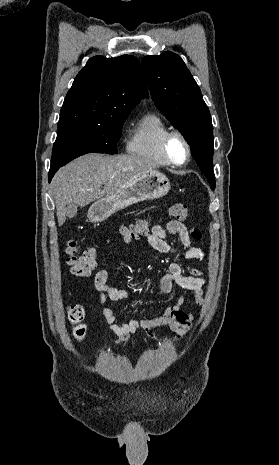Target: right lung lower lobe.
Returning <instances> with one entry per match:
<instances>
[{
    "label": "right lung lower lobe",
    "instance_id": "right-lung-lower-lobe-1",
    "mask_svg": "<svg viewBox=\"0 0 279 465\" xmlns=\"http://www.w3.org/2000/svg\"><path fill=\"white\" fill-rule=\"evenodd\" d=\"M58 169H59V166L50 167V171H49V175H48L49 182L51 181L52 177L54 176L55 172H56Z\"/></svg>",
    "mask_w": 279,
    "mask_h": 465
}]
</instances>
